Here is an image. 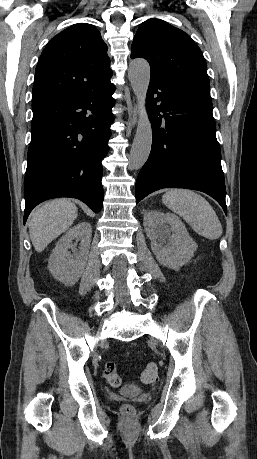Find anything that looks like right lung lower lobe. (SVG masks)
I'll use <instances>...</instances> for the list:
<instances>
[{"mask_svg": "<svg viewBox=\"0 0 257 459\" xmlns=\"http://www.w3.org/2000/svg\"><path fill=\"white\" fill-rule=\"evenodd\" d=\"M114 90L108 83L82 96L33 109L24 224L31 210L50 198H77L94 212L101 210V161L109 151Z\"/></svg>", "mask_w": 257, "mask_h": 459, "instance_id": "right-lung-lower-lobe-1", "label": "right lung lower lobe"}]
</instances>
